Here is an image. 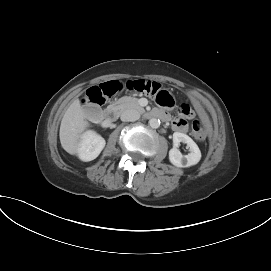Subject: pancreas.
<instances>
[{
  "label": "pancreas",
  "instance_id": "cf45deb5",
  "mask_svg": "<svg viewBox=\"0 0 271 271\" xmlns=\"http://www.w3.org/2000/svg\"><path fill=\"white\" fill-rule=\"evenodd\" d=\"M110 108L118 112H124L128 109H134L141 113L145 111L144 108L139 105L138 99L130 96H124L118 99L116 102L110 105Z\"/></svg>",
  "mask_w": 271,
  "mask_h": 271
}]
</instances>
